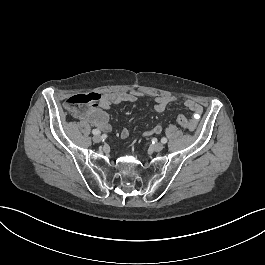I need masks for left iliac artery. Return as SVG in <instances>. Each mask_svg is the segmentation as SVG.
I'll use <instances>...</instances> for the list:
<instances>
[{
  "mask_svg": "<svg viewBox=\"0 0 265 265\" xmlns=\"http://www.w3.org/2000/svg\"><path fill=\"white\" fill-rule=\"evenodd\" d=\"M161 142H162L163 144H165V143L167 142V139H166V138H162V139H161Z\"/></svg>",
  "mask_w": 265,
  "mask_h": 265,
  "instance_id": "obj_1",
  "label": "left iliac artery"
}]
</instances>
